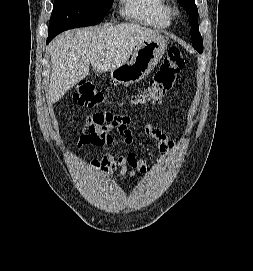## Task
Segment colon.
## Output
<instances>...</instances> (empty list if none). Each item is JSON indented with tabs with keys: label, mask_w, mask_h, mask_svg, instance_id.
I'll use <instances>...</instances> for the list:
<instances>
[{
	"label": "colon",
	"mask_w": 253,
	"mask_h": 271,
	"mask_svg": "<svg viewBox=\"0 0 253 271\" xmlns=\"http://www.w3.org/2000/svg\"><path fill=\"white\" fill-rule=\"evenodd\" d=\"M184 67L185 59L180 49L178 47L169 48L159 71L143 91L132 96V100L137 104L155 105L160 103L172 90ZM105 99V94L97 91L89 81L82 82L75 93L77 103L86 107L99 106L104 103Z\"/></svg>",
	"instance_id": "1"
}]
</instances>
